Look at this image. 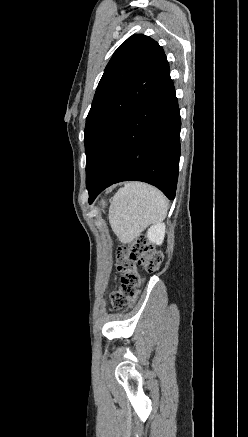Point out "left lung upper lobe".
I'll use <instances>...</instances> for the list:
<instances>
[{
	"label": "left lung upper lobe",
	"instance_id": "left-lung-upper-lobe-1",
	"mask_svg": "<svg viewBox=\"0 0 248 437\" xmlns=\"http://www.w3.org/2000/svg\"><path fill=\"white\" fill-rule=\"evenodd\" d=\"M170 73L164 50L136 34L114 52L98 84L85 126L86 186L95 179L113 140L128 118Z\"/></svg>",
	"mask_w": 248,
	"mask_h": 437
}]
</instances>
